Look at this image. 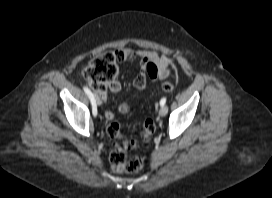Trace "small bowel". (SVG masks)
<instances>
[{"label":"small bowel","mask_w":272,"mask_h":198,"mask_svg":"<svg viewBox=\"0 0 272 198\" xmlns=\"http://www.w3.org/2000/svg\"><path fill=\"white\" fill-rule=\"evenodd\" d=\"M117 52L122 56L121 61H134L138 60L140 64L144 67L146 63L152 62L156 65L158 73L156 77L151 78L154 80L164 79L170 73L171 58L168 56H159L155 52L140 50L132 51L126 48L118 49ZM135 84V82H134ZM136 86V84H135ZM137 87V86H136ZM121 90V84L119 81H114L110 86V91L112 93H118ZM106 93H100L99 100L105 99ZM100 100V101H101ZM130 110V104L128 102H122L119 105V111L121 113H127ZM105 118L107 120H112L114 118V113L110 110L105 111Z\"/></svg>","instance_id":"1"}]
</instances>
